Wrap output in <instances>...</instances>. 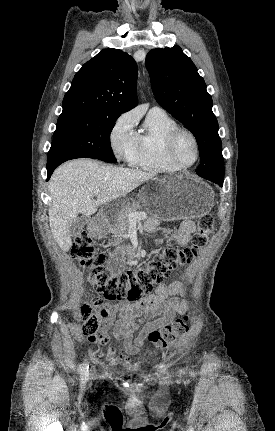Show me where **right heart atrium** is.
Segmentation results:
<instances>
[{
	"label": "right heart atrium",
	"mask_w": 275,
	"mask_h": 431,
	"mask_svg": "<svg viewBox=\"0 0 275 431\" xmlns=\"http://www.w3.org/2000/svg\"><path fill=\"white\" fill-rule=\"evenodd\" d=\"M135 117L126 112L121 114L114 122L109 139L115 156L131 164L137 151V133L134 130Z\"/></svg>",
	"instance_id": "1"
}]
</instances>
